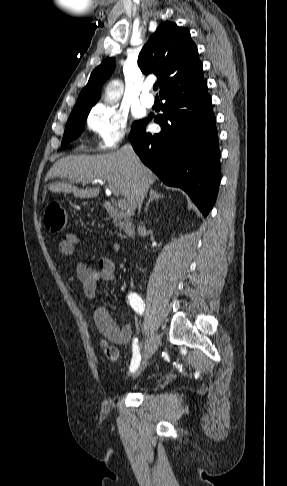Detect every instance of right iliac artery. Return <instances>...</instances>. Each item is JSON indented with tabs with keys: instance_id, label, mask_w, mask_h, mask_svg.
Returning a JSON list of instances; mask_svg holds the SVG:
<instances>
[{
	"instance_id": "obj_1",
	"label": "right iliac artery",
	"mask_w": 287,
	"mask_h": 486,
	"mask_svg": "<svg viewBox=\"0 0 287 486\" xmlns=\"http://www.w3.org/2000/svg\"><path fill=\"white\" fill-rule=\"evenodd\" d=\"M128 302L131 305V307L138 314L141 315L143 313V311H144V303H143L141 297L138 294H136V293H130L128 295ZM137 342L138 341L135 338L134 341H133V347H132L133 356H132L131 365H130V371L131 372H134L135 370L138 369V367L140 365V361H141V355H140V351H139V347H138Z\"/></svg>"
}]
</instances>
